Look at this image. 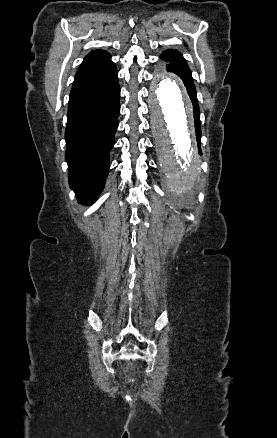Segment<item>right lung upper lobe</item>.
Listing matches in <instances>:
<instances>
[{"label":"right lung upper lobe","mask_w":277,"mask_h":438,"mask_svg":"<svg viewBox=\"0 0 277 438\" xmlns=\"http://www.w3.org/2000/svg\"><path fill=\"white\" fill-rule=\"evenodd\" d=\"M116 65L111 56L103 50L90 52L80 65L73 82V86L105 76L114 71Z\"/></svg>","instance_id":"right-lung-upper-lobe-1"}]
</instances>
